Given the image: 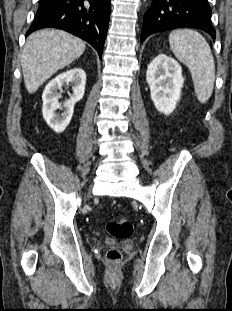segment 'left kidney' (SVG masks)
<instances>
[{
  "label": "left kidney",
  "mask_w": 232,
  "mask_h": 311,
  "mask_svg": "<svg viewBox=\"0 0 232 311\" xmlns=\"http://www.w3.org/2000/svg\"><path fill=\"white\" fill-rule=\"evenodd\" d=\"M146 80L156 109L165 115L171 114L184 83L181 66L173 58L159 54L149 64Z\"/></svg>",
  "instance_id": "5707ae66"
}]
</instances>
